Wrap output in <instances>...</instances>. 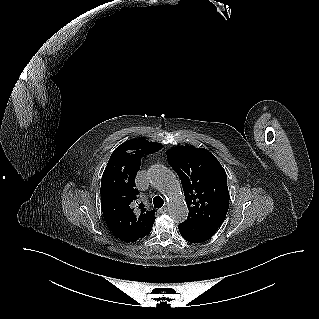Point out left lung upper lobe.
<instances>
[{
	"label": "left lung upper lobe",
	"instance_id": "obj_1",
	"mask_svg": "<svg viewBox=\"0 0 319 319\" xmlns=\"http://www.w3.org/2000/svg\"><path fill=\"white\" fill-rule=\"evenodd\" d=\"M167 159L181 179L189 214L187 220L220 226L229 207L227 175L206 149L176 146Z\"/></svg>",
	"mask_w": 319,
	"mask_h": 319
}]
</instances>
